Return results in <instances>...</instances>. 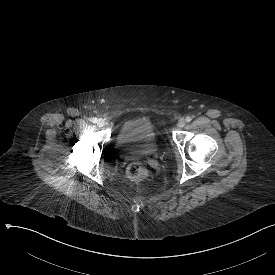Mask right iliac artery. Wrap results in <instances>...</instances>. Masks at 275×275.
Returning a JSON list of instances; mask_svg holds the SVG:
<instances>
[{
  "label": "right iliac artery",
  "instance_id": "1",
  "mask_svg": "<svg viewBox=\"0 0 275 275\" xmlns=\"http://www.w3.org/2000/svg\"><path fill=\"white\" fill-rule=\"evenodd\" d=\"M91 121H92L93 123H96L98 120H97L96 117H93V118H91Z\"/></svg>",
  "mask_w": 275,
  "mask_h": 275
}]
</instances>
